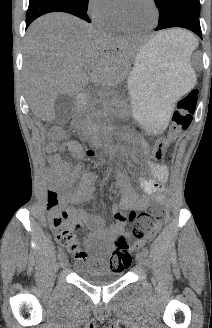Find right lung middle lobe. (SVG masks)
Returning a JSON list of instances; mask_svg holds the SVG:
<instances>
[{"label": "right lung middle lobe", "mask_w": 212, "mask_h": 328, "mask_svg": "<svg viewBox=\"0 0 212 328\" xmlns=\"http://www.w3.org/2000/svg\"><path fill=\"white\" fill-rule=\"evenodd\" d=\"M73 1H76L77 3L87 7L89 0H73Z\"/></svg>", "instance_id": "obj_1"}]
</instances>
